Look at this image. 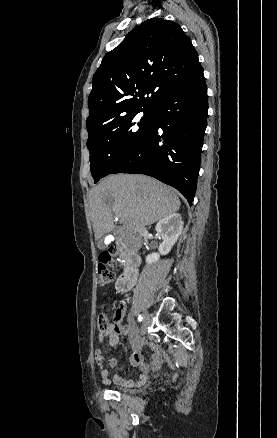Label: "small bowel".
<instances>
[{
    "instance_id": "1",
    "label": "small bowel",
    "mask_w": 277,
    "mask_h": 438,
    "mask_svg": "<svg viewBox=\"0 0 277 438\" xmlns=\"http://www.w3.org/2000/svg\"><path fill=\"white\" fill-rule=\"evenodd\" d=\"M120 311L121 313H124L126 311V305L123 303L120 306ZM135 331V327L133 325H125V326H121V325H117L114 326L112 328H110L107 332H102L99 335V339L100 341H103L104 339L108 340V343L111 347H115L120 339V336L122 334H131ZM149 341H152V338H149ZM151 348L153 350V355H152V359H153V363L151 365H147L144 364L142 362V355L140 354V350L141 347L139 344H135L132 347L133 350V354L131 357V363L133 365H137L140 367L141 369V374L138 378V380H126L124 378L115 376V382L120 385V386H126V387H134V386H143L146 382H147V374L148 372L155 367H162L163 366V361L160 360L161 359V355L159 353V349L156 345H151ZM95 353V361L97 362L98 367L101 368V370L99 371V374L106 379L107 377V370L105 369V365L106 362L104 360V357L102 355L103 350L100 347L95 348L94 350ZM112 366L111 369L113 371H116L118 369V366L116 364H114V362L112 361Z\"/></svg>"
}]
</instances>
